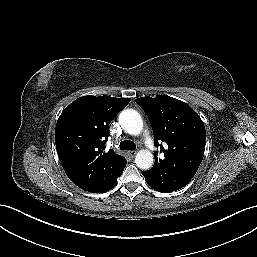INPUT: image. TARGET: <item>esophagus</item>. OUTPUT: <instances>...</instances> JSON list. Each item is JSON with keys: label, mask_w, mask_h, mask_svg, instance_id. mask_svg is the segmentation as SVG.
Wrapping results in <instances>:
<instances>
[{"label": "esophagus", "mask_w": 257, "mask_h": 257, "mask_svg": "<svg viewBox=\"0 0 257 257\" xmlns=\"http://www.w3.org/2000/svg\"><path fill=\"white\" fill-rule=\"evenodd\" d=\"M128 153H129V155H130L131 157H134V156L136 155L137 151L131 150V151H129Z\"/></svg>", "instance_id": "obj_1"}]
</instances>
